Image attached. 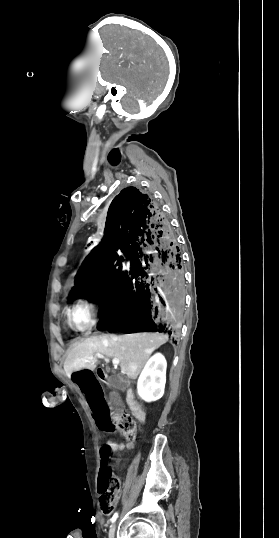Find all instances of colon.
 Returning a JSON list of instances; mask_svg holds the SVG:
<instances>
[{
    "mask_svg": "<svg viewBox=\"0 0 279 538\" xmlns=\"http://www.w3.org/2000/svg\"><path fill=\"white\" fill-rule=\"evenodd\" d=\"M112 429L118 431L128 441H134L137 436V426L131 416L123 414L112 423ZM101 469L99 473V494L102 513L109 515L117 498L120 482L110 469V460L113 456L112 447L106 443L100 448Z\"/></svg>",
    "mask_w": 279,
    "mask_h": 538,
    "instance_id": "obj_1",
    "label": "colon"
}]
</instances>
